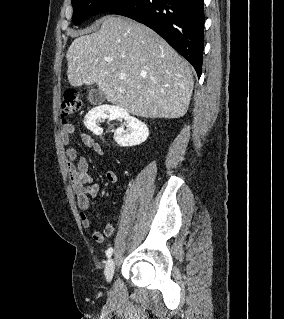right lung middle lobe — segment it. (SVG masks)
Here are the masks:
<instances>
[{"instance_id": "right-lung-middle-lobe-1", "label": "right lung middle lobe", "mask_w": 284, "mask_h": 319, "mask_svg": "<svg viewBox=\"0 0 284 319\" xmlns=\"http://www.w3.org/2000/svg\"><path fill=\"white\" fill-rule=\"evenodd\" d=\"M130 0H71L73 5V23L79 25L91 16L111 11Z\"/></svg>"}]
</instances>
